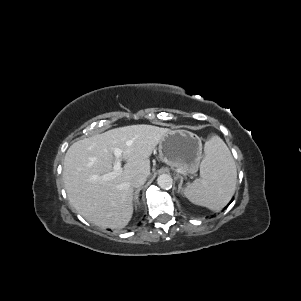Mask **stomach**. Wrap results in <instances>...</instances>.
<instances>
[{
  "instance_id": "1",
  "label": "stomach",
  "mask_w": 301,
  "mask_h": 301,
  "mask_svg": "<svg viewBox=\"0 0 301 301\" xmlns=\"http://www.w3.org/2000/svg\"><path fill=\"white\" fill-rule=\"evenodd\" d=\"M161 160L187 173L197 172L202 159V142L194 133L185 130H169L159 142Z\"/></svg>"
}]
</instances>
